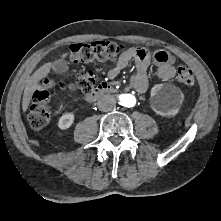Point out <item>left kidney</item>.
Segmentation results:
<instances>
[{"mask_svg":"<svg viewBox=\"0 0 221 221\" xmlns=\"http://www.w3.org/2000/svg\"><path fill=\"white\" fill-rule=\"evenodd\" d=\"M153 110L161 116L170 117L179 112L184 99L182 91L170 84H157L151 89Z\"/></svg>","mask_w":221,"mask_h":221,"instance_id":"5707ae66","label":"left kidney"}]
</instances>
